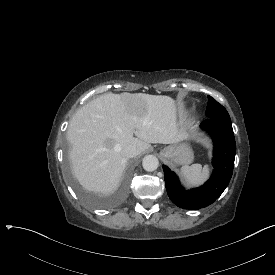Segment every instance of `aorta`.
Returning <instances> with one entry per match:
<instances>
[{
    "instance_id": "obj_1",
    "label": "aorta",
    "mask_w": 275,
    "mask_h": 275,
    "mask_svg": "<svg viewBox=\"0 0 275 275\" xmlns=\"http://www.w3.org/2000/svg\"><path fill=\"white\" fill-rule=\"evenodd\" d=\"M142 165L146 171L152 172L158 168L159 161L156 156L147 155L143 158Z\"/></svg>"
}]
</instances>
